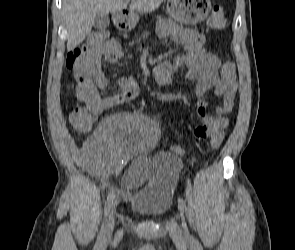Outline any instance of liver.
Returning a JSON list of instances; mask_svg holds the SVG:
<instances>
[{"label":"liver","mask_w":295,"mask_h":250,"mask_svg":"<svg viewBox=\"0 0 295 250\" xmlns=\"http://www.w3.org/2000/svg\"><path fill=\"white\" fill-rule=\"evenodd\" d=\"M164 0H132L131 11H155ZM127 0H63L62 15L67 29V50L77 47L92 30L96 15L122 12Z\"/></svg>","instance_id":"6515ba94"}]
</instances>
